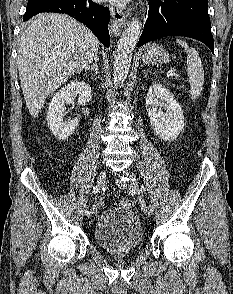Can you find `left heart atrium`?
I'll use <instances>...</instances> for the list:
<instances>
[{
  "label": "left heart atrium",
  "instance_id": "1",
  "mask_svg": "<svg viewBox=\"0 0 233 294\" xmlns=\"http://www.w3.org/2000/svg\"><path fill=\"white\" fill-rule=\"evenodd\" d=\"M105 1H109L118 5H123L125 4L128 0H105Z\"/></svg>",
  "mask_w": 233,
  "mask_h": 294
}]
</instances>
